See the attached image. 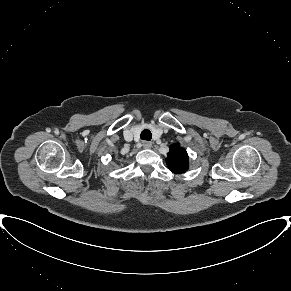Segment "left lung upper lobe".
Masks as SVG:
<instances>
[{"label": "left lung upper lobe", "mask_w": 291, "mask_h": 291, "mask_svg": "<svg viewBox=\"0 0 291 291\" xmlns=\"http://www.w3.org/2000/svg\"><path fill=\"white\" fill-rule=\"evenodd\" d=\"M166 163L170 171L174 173H183L189 167V158L186 150L181 148L178 143L170 146L167 154Z\"/></svg>", "instance_id": "5c2ea615"}]
</instances>
